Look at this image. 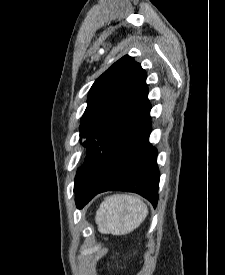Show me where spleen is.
I'll return each mask as SVG.
<instances>
[{"instance_id": "spleen-1", "label": "spleen", "mask_w": 225, "mask_h": 275, "mask_svg": "<svg viewBox=\"0 0 225 275\" xmlns=\"http://www.w3.org/2000/svg\"><path fill=\"white\" fill-rule=\"evenodd\" d=\"M147 214V206L138 197L115 194L100 204L95 220L102 234L126 235L136 229Z\"/></svg>"}]
</instances>
